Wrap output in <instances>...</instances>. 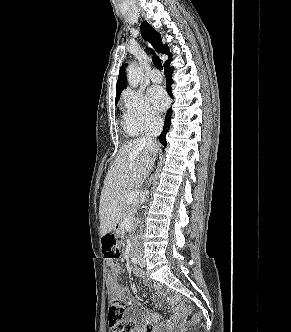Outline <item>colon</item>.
<instances>
[{
	"instance_id": "1",
	"label": "colon",
	"mask_w": 291,
	"mask_h": 332,
	"mask_svg": "<svg viewBox=\"0 0 291 332\" xmlns=\"http://www.w3.org/2000/svg\"><path fill=\"white\" fill-rule=\"evenodd\" d=\"M120 238L113 233L105 234L102 238V246L105 258L114 261L120 256ZM171 303L175 305L178 310L190 312L191 308L184 302L177 301L172 298ZM125 300L122 297H113L108 311V320L110 332H134V326L125 320ZM197 319V316H194ZM144 332H153V326L147 325Z\"/></svg>"
}]
</instances>
